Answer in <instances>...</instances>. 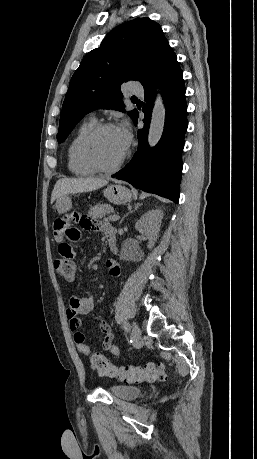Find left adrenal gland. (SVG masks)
Wrapping results in <instances>:
<instances>
[{
	"label": "left adrenal gland",
	"instance_id": "left-adrenal-gland-1",
	"mask_svg": "<svg viewBox=\"0 0 257 459\" xmlns=\"http://www.w3.org/2000/svg\"><path fill=\"white\" fill-rule=\"evenodd\" d=\"M141 205H142V204H140V203L135 204L134 209L136 210V209H137L139 206H141ZM128 210H129V212L126 213V214L122 217V219H121L120 222H119V225L123 222V220H124L131 212H133L131 206L128 207Z\"/></svg>",
	"mask_w": 257,
	"mask_h": 459
}]
</instances>
